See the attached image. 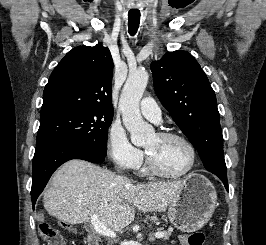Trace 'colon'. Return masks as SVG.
<instances>
[{
	"label": "colon",
	"mask_w": 266,
	"mask_h": 245,
	"mask_svg": "<svg viewBox=\"0 0 266 245\" xmlns=\"http://www.w3.org/2000/svg\"><path fill=\"white\" fill-rule=\"evenodd\" d=\"M40 234L46 245H66L58 231L47 220L38 225ZM205 235L202 231H194L184 237L186 245H204Z\"/></svg>",
	"instance_id": "1"
}]
</instances>
